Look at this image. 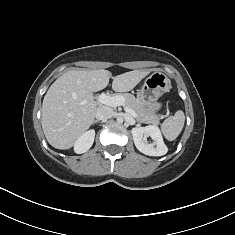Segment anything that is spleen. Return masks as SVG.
<instances>
[{"label": "spleen", "instance_id": "3e777b00", "mask_svg": "<svg viewBox=\"0 0 235 235\" xmlns=\"http://www.w3.org/2000/svg\"><path fill=\"white\" fill-rule=\"evenodd\" d=\"M185 122L183 111H177L174 116L166 119L161 125L165 138L169 141L175 140L181 133Z\"/></svg>", "mask_w": 235, "mask_h": 235}]
</instances>
